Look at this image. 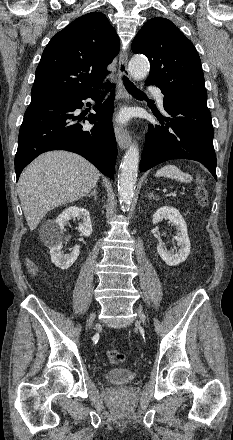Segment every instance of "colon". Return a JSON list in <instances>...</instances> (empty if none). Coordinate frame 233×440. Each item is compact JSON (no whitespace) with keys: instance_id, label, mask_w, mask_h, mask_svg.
<instances>
[{"instance_id":"1","label":"colon","mask_w":233,"mask_h":440,"mask_svg":"<svg viewBox=\"0 0 233 440\" xmlns=\"http://www.w3.org/2000/svg\"><path fill=\"white\" fill-rule=\"evenodd\" d=\"M196 198L200 207L205 208L208 206L209 203L208 191L201 180L197 182ZM29 269L32 273L36 272V268L32 264L29 265ZM106 356L109 359V361L112 363H121L125 359V355L122 352L115 349L107 350Z\"/></svg>"}]
</instances>
